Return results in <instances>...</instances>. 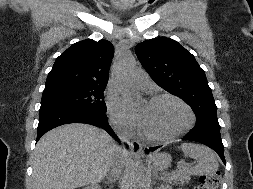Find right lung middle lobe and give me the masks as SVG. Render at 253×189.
<instances>
[{"mask_svg": "<svg viewBox=\"0 0 253 189\" xmlns=\"http://www.w3.org/2000/svg\"><path fill=\"white\" fill-rule=\"evenodd\" d=\"M105 87L59 86L44 89L41 108L61 107L105 114Z\"/></svg>", "mask_w": 253, "mask_h": 189, "instance_id": "1", "label": "right lung middle lobe"}]
</instances>
